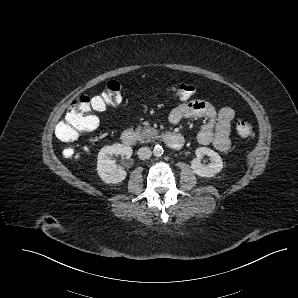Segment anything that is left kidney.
<instances>
[{"label":"left kidney","instance_id":"obj_1","mask_svg":"<svg viewBox=\"0 0 298 298\" xmlns=\"http://www.w3.org/2000/svg\"><path fill=\"white\" fill-rule=\"evenodd\" d=\"M196 158L191 162V167L194 173L202 177H210L219 172L223 162L218 153L208 147H199L195 151ZM204 155H208L210 163L202 164L201 161Z\"/></svg>","mask_w":298,"mask_h":298}]
</instances>
